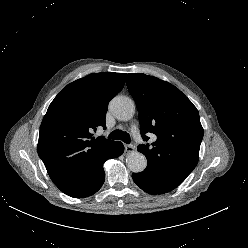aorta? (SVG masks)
<instances>
[{
	"instance_id": "aorta-1",
	"label": "aorta",
	"mask_w": 248,
	"mask_h": 248,
	"mask_svg": "<svg viewBox=\"0 0 248 248\" xmlns=\"http://www.w3.org/2000/svg\"><path fill=\"white\" fill-rule=\"evenodd\" d=\"M112 114L121 121H128L135 114L134 101L126 96H117L113 98L109 104ZM127 167L134 173H139L145 170L147 166L146 157L138 152L132 151L126 157Z\"/></svg>"
}]
</instances>
